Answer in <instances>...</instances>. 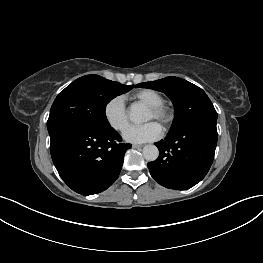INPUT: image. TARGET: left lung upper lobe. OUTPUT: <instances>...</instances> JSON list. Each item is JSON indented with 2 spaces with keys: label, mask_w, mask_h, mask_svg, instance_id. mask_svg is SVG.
Segmentation results:
<instances>
[{
  "label": "left lung upper lobe",
  "mask_w": 263,
  "mask_h": 263,
  "mask_svg": "<svg viewBox=\"0 0 263 263\" xmlns=\"http://www.w3.org/2000/svg\"><path fill=\"white\" fill-rule=\"evenodd\" d=\"M136 87L164 92L172 100L175 117L169 133L188 125L216 122L217 120V112L206 93L198 86L184 79L166 77L156 81L140 83Z\"/></svg>",
  "instance_id": "1"
}]
</instances>
